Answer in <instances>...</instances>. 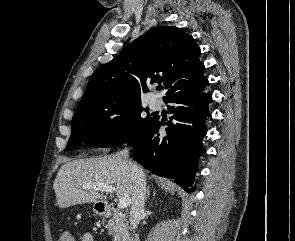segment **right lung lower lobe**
<instances>
[{
    "label": "right lung lower lobe",
    "instance_id": "right-lung-lower-lobe-1",
    "mask_svg": "<svg viewBox=\"0 0 295 241\" xmlns=\"http://www.w3.org/2000/svg\"><path fill=\"white\" fill-rule=\"evenodd\" d=\"M208 81L172 94L164 100L169 103V120L155 116L138 135L130 139L134 160L152 173L173 178L185 191L192 192L199 156L205 153L201 144L207 133L209 103ZM167 125L160 134L159 127Z\"/></svg>",
    "mask_w": 295,
    "mask_h": 241
}]
</instances>
